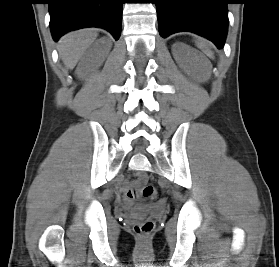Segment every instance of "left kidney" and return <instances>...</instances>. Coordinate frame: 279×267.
Listing matches in <instances>:
<instances>
[{"instance_id":"left-kidney-1","label":"left kidney","mask_w":279,"mask_h":267,"mask_svg":"<svg viewBox=\"0 0 279 267\" xmlns=\"http://www.w3.org/2000/svg\"><path fill=\"white\" fill-rule=\"evenodd\" d=\"M175 47H177V45H175ZM178 63H180V65H181L182 67H184V66H183V61H182L180 58L178 59ZM184 69H185V68H184Z\"/></svg>"}]
</instances>
